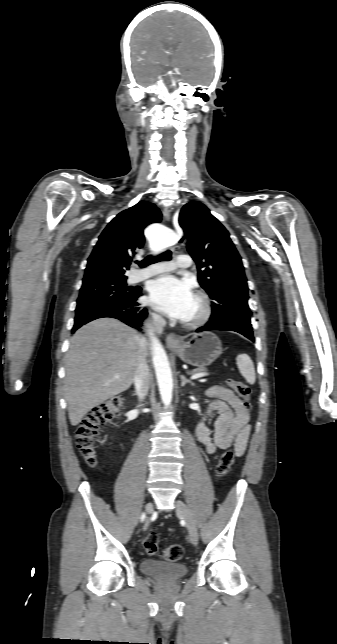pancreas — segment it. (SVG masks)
Returning a JSON list of instances; mask_svg holds the SVG:
<instances>
[{
  "instance_id": "obj_1",
  "label": "pancreas",
  "mask_w": 337,
  "mask_h": 644,
  "mask_svg": "<svg viewBox=\"0 0 337 644\" xmlns=\"http://www.w3.org/2000/svg\"><path fill=\"white\" fill-rule=\"evenodd\" d=\"M205 372H206L205 369H194L190 373L191 374H196V373H205Z\"/></svg>"
}]
</instances>
